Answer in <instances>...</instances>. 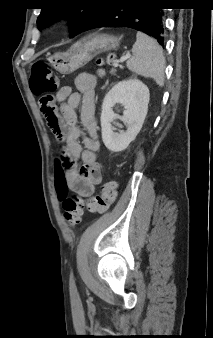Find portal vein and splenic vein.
Returning <instances> with one entry per match:
<instances>
[{
	"instance_id": "1",
	"label": "portal vein and splenic vein",
	"mask_w": 213,
	"mask_h": 338,
	"mask_svg": "<svg viewBox=\"0 0 213 338\" xmlns=\"http://www.w3.org/2000/svg\"><path fill=\"white\" fill-rule=\"evenodd\" d=\"M131 57V55L130 54H126V55H124L123 57H121V59H120V61L119 62H124V61H126L127 59H129ZM119 64L118 63H115L114 64V66L115 67H117Z\"/></svg>"
}]
</instances>
